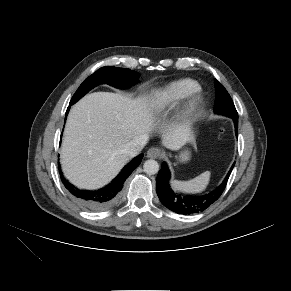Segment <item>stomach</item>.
Segmentation results:
<instances>
[{"instance_id":"stomach-1","label":"stomach","mask_w":291,"mask_h":291,"mask_svg":"<svg viewBox=\"0 0 291 291\" xmlns=\"http://www.w3.org/2000/svg\"><path fill=\"white\" fill-rule=\"evenodd\" d=\"M194 135L191 133V141L190 144H194ZM190 159V151L188 149L183 150L179 155L180 162H187Z\"/></svg>"}]
</instances>
